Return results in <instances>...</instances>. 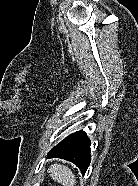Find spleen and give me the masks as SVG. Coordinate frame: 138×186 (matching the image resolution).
<instances>
[{
  "instance_id": "obj_1",
  "label": "spleen",
  "mask_w": 138,
  "mask_h": 186,
  "mask_svg": "<svg viewBox=\"0 0 138 186\" xmlns=\"http://www.w3.org/2000/svg\"><path fill=\"white\" fill-rule=\"evenodd\" d=\"M47 172L54 181L63 186H74L75 184V175L64 165L53 164Z\"/></svg>"
}]
</instances>
